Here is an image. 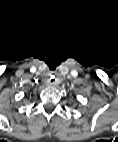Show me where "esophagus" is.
<instances>
[{
    "mask_svg": "<svg viewBox=\"0 0 118 142\" xmlns=\"http://www.w3.org/2000/svg\"><path fill=\"white\" fill-rule=\"evenodd\" d=\"M56 83H57V79L55 78V76L52 74H49L46 79V84L48 86H54V85H56Z\"/></svg>",
    "mask_w": 118,
    "mask_h": 142,
    "instance_id": "34e87169",
    "label": "esophagus"
}]
</instances>
